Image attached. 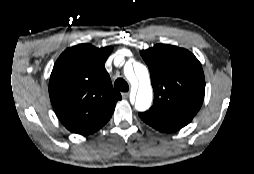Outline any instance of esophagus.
I'll use <instances>...</instances> for the list:
<instances>
[{
	"label": "esophagus",
	"mask_w": 254,
	"mask_h": 174,
	"mask_svg": "<svg viewBox=\"0 0 254 174\" xmlns=\"http://www.w3.org/2000/svg\"><path fill=\"white\" fill-rule=\"evenodd\" d=\"M122 97L123 99H127L129 97V92H123Z\"/></svg>",
	"instance_id": "1"
}]
</instances>
